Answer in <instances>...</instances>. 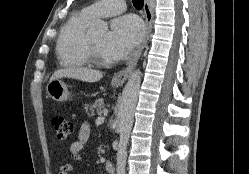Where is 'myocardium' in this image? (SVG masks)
Wrapping results in <instances>:
<instances>
[{"mask_svg": "<svg viewBox=\"0 0 249 174\" xmlns=\"http://www.w3.org/2000/svg\"><path fill=\"white\" fill-rule=\"evenodd\" d=\"M86 52L88 58L91 62L99 66H106L108 63L102 59H100L96 53L92 38L88 35L87 42H86Z\"/></svg>", "mask_w": 249, "mask_h": 174, "instance_id": "myocardium-1", "label": "myocardium"}]
</instances>
